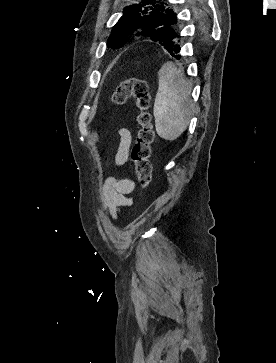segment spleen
<instances>
[{"instance_id": "3e777b00", "label": "spleen", "mask_w": 276, "mask_h": 363, "mask_svg": "<svg viewBox=\"0 0 276 363\" xmlns=\"http://www.w3.org/2000/svg\"><path fill=\"white\" fill-rule=\"evenodd\" d=\"M153 115L157 134L168 141L176 140L186 130L192 108L191 86L171 61L158 72Z\"/></svg>"}]
</instances>
